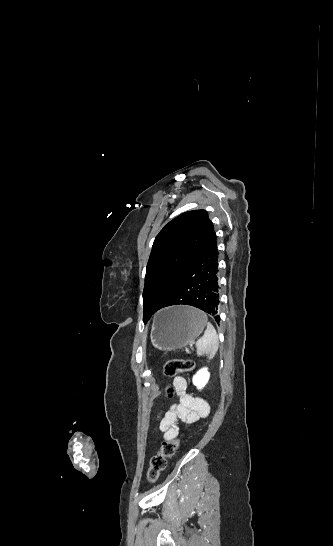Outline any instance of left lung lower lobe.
I'll list each match as a JSON object with an SVG mask.
<instances>
[{"mask_svg": "<svg viewBox=\"0 0 333 546\" xmlns=\"http://www.w3.org/2000/svg\"><path fill=\"white\" fill-rule=\"evenodd\" d=\"M217 236L213 226L203 239L192 263L175 282L163 307L184 304L197 307L219 322V270ZM203 262L200 273L196 272Z\"/></svg>", "mask_w": 333, "mask_h": 546, "instance_id": "1", "label": "left lung lower lobe"}]
</instances>
